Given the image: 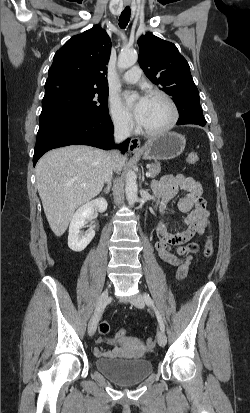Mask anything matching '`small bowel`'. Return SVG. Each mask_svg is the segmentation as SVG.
<instances>
[{
	"instance_id": "obj_1",
	"label": "small bowel",
	"mask_w": 250,
	"mask_h": 413,
	"mask_svg": "<svg viewBox=\"0 0 250 413\" xmlns=\"http://www.w3.org/2000/svg\"><path fill=\"white\" fill-rule=\"evenodd\" d=\"M154 195L159 200V207L163 210L179 190L185 194L178 202L179 210L186 213L183 224L185 230L171 233L164 223L160 222L156 229L157 241L155 248L159 257L177 267V278H185L190 271L194 254L198 253L199 245L193 242L195 236L210 233V222L205 200L201 197L202 186L198 180L183 173L166 175L152 184ZM113 345L111 350L96 347L94 354L97 357H120L129 353L142 357L146 354V347L139 337H127L125 340H107ZM102 339L98 340L101 343ZM122 345V346H121Z\"/></svg>"
}]
</instances>
